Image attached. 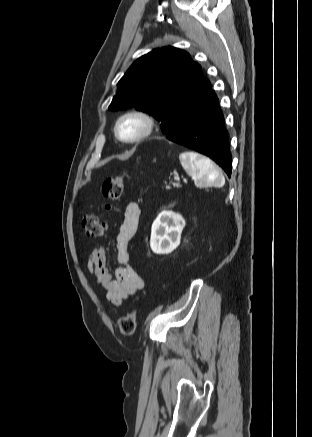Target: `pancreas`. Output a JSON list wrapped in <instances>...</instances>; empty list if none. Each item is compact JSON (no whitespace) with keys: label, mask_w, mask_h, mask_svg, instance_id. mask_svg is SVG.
Here are the masks:
<instances>
[{"label":"pancreas","mask_w":312,"mask_h":437,"mask_svg":"<svg viewBox=\"0 0 312 437\" xmlns=\"http://www.w3.org/2000/svg\"><path fill=\"white\" fill-rule=\"evenodd\" d=\"M172 185H173L174 187H176V188L181 187V185H180L179 183H175V182H173ZM166 189L169 190V189H171V187H170L169 185H167V186H166Z\"/></svg>","instance_id":"cf45deb5"}]
</instances>
